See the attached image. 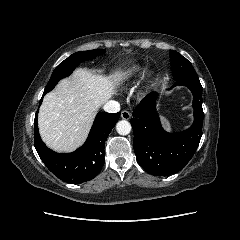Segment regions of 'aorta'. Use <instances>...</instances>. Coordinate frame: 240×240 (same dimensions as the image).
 Returning a JSON list of instances; mask_svg holds the SVG:
<instances>
[{"mask_svg": "<svg viewBox=\"0 0 240 240\" xmlns=\"http://www.w3.org/2000/svg\"><path fill=\"white\" fill-rule=\"evenodd\" d=\"M131 124L127 120H121L116 124V131L120 135H127L131 132Z\"/></svg>", "mask_w": 240, "mask_h": 240, "instance_id": "762f6f07", "label": "aorta"}]
</instances>
